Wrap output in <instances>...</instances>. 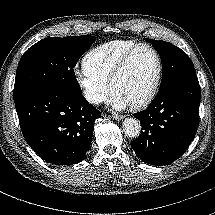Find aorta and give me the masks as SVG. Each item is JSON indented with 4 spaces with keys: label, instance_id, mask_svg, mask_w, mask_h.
<instances>
[{
    "label": "aorta",
    "instance_id": "762f6f07",
    "mask_svg": "<svg viewBox=\"0 0 215 215\" xmlns=\"http://www.w3.org/2000/svg\"><path fill=\"white\" fill-rule=\"evenodd\" d=\"M123 129L127 136L137 137L141 130L139 120L135 118H126L123 122Z\"/></svg>",
    "mask_w": 215,
    "mask_h": 215
}]
</instances>
